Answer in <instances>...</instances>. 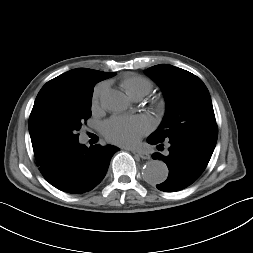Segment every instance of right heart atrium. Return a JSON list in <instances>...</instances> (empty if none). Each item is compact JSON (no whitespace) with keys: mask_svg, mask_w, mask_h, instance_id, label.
Here are the masks:
<instances>
[{"mask_svg":"<svg viewBox=\"0 0 253 253\" xmlns=\"http://www.w3.org/2000/svg\"><path fill=\"white\" fill-rule=\"evenodd\" d=\"M104 89H105V84H100L95 88L94 93H93V98H92L93 107H96L98 105L100 97Z\"/></svg>","mask_w":253,"mask_h":253,"instance_id":"d8ad5b80","label":"right heart atrium"}]
</instances>
